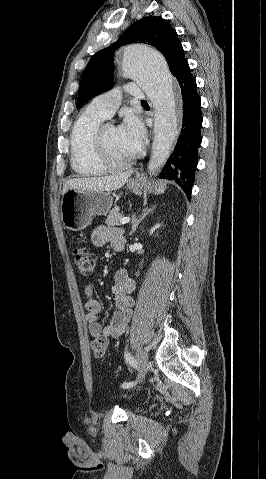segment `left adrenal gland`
Instances as JSON below:
<instances>
[{"instance_id": "left-adrenal-gland-1", "label": "left adrenal gland", "mask_w": 266, "mask_h": 479, "mask_svg": "<svg viewBox=\"0 0 266 479\" xmlns=\"http://www.w3.org/2000/svg\"><path fill=\"white\" fill-rule=\"evenodd\" d=\"M153 210H154V207H152V208H148V207H147V208H145V209L143 210V213H142L141 216H139V218H136V216H134V217L132 218V221H131V222H132V229H131V232L129 233V235H132V234L136 231V229L138 228L139 224L144 220V218H145L149 213L153 212Z\"/></svg>"}]
</instances>
